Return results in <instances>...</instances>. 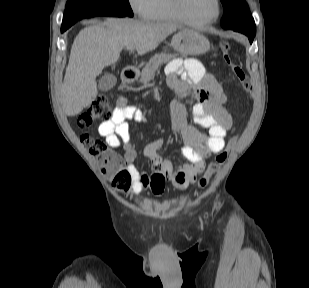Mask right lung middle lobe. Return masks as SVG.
<instances>
[{
  "label": "right lung middle lobe",
  "instance_id": "dd1d6c3e",
  "mask_svg": "<svg viewBox=\"0 0 309 288\" xmlns=\"http://www.w3.org/2000/svg\"><path fill=\"white\" fill-rule=\"evenodd\" d=\"M101 11L120 12L133 16L128 0H68L61 28L68 29L76 21Z\"/></svg>",
  "mask_w": 309,
  "mask_h": 288
}]
</instances>
